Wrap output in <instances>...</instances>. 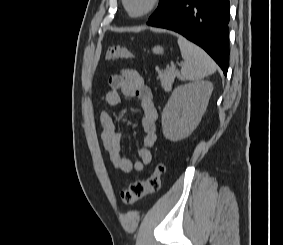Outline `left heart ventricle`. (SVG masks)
Returning a JSON list of instances; mask_svg holds the SVG:
<instances>
[{
  "label": "left heart ventricle",
  "mask_w": 283,
  "mask_h": 245,
  "mask_svg": "<svg viewBox=\"0 0 283 245\" xmlns=\"http://www.w3.org/2000/svg\"><path fill=\"white\" fill-rule=\"evenodd\" d=\"M150 0H128V7L132 13L143 11L149 4Z\"/></svg>",
  "instance_id": "1"
}]
</instances>
